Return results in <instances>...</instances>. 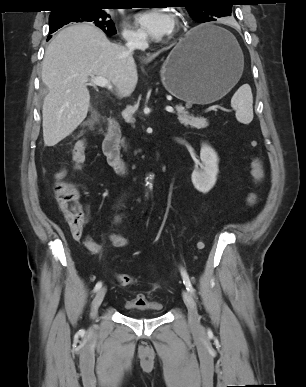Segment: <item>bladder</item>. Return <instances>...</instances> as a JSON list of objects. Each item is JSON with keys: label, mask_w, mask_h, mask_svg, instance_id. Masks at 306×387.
<instances>
[{"label": "bladder", "mask_w": 306, "mask_h": 387, "mask_svg": "<svg viewBox=\"0 0 306 387\" xmlns=\"http://www.w3.org/2000/svg\"><path fill=\"white\" fill-rule=\"evenodd\" d=\"M142 298L144 302L141 304H134L133 300L125 304L124 308L128 315L135 317L140 314H147L151 317H159L163 314L164 307L160 302Z\"/></svg>", "instance_id": "obj_1"}]
</instances>
